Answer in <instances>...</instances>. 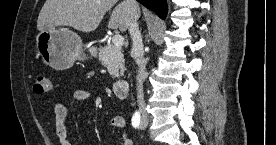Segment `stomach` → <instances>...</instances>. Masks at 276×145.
<instances>
[{
	"label": "stomach",
	"mask_w": 276,
	"mask_h": 145,
	"mask_svg": "<svg viewBox=\"0 0 276 145\" xmlns=\"http://www.w3.org/2000/svg\"><path fill=\"white\" fill-rule=\"evenodd\" d=\"M36 44L44 62L55 70H67L76 60L88 58L83 51L82 39L69 29L40 31Z\"/></svg>",
	"instance_id": "0dacf381"
}]
</instances>
